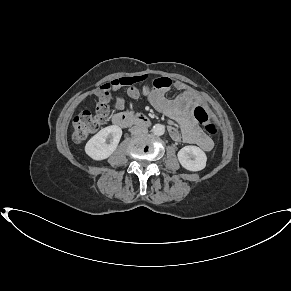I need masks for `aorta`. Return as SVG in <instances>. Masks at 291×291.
<instances>
[{"mask_svg": "<svg viewBox=\"0 0 291 291\" xmlns=\"http://www.w3.org/2000/svg\"><path fill=\"white\" fill-rule=\"evenodd\" d=\"M152 132L157 136H161L165 133V127L162 124H155L152 128Z\"/></svg>", "mask_w": 291, "mask_h": 291, "instance_id": "aorta-1", "label": "aorta"}]
</instances>
